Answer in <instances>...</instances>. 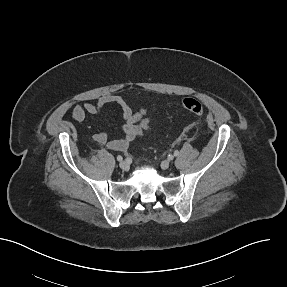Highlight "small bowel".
I'll return each instance as SVG.
<instances>
[{
    "label": "small bowel",
    "instance_id": "1",
    "mask_svg": "<svg viewBox=\"0 0 287 287\" xmlns=\"http://www.w3.org/2000/svg\"><path fill=\"white\" fill-rule=\"evenodd\" d=\"M110 104L118 105L121 109L124 120L123 125L120 127L121 137L110 139L107 133L99 132L92 136V140L96 144L106 146L113 151H126L132 141L141 137L150 128V118L146 109L141 108L133 111L120 96L109 94L100 97L94 103L73 106L71 115L75 120L83 122L88 115L97 114Z\"/></svg>",
    "mask_w": 287,
    "mask_h": 287
}]
</instances>
